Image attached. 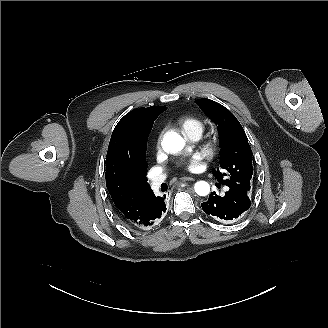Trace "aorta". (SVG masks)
Masks as SVG:
<instances>
[{
  "label": "aorta",
  "mask_w": 328,
  "mask_h": 328,
  "mask_svg": "<svg viewBox=\"0 0 328 328\" xmlns=\"http://www.w3.org/2000/svg\"><path fill=\"white\" fill-rule=\"evenodd\" d=\"M162 145L169 153H176L184 148L185 141L179 134L170 132L165 134ZM194 190L199 196H206L210 193V185L205 181H198L195 183Z\"/></svg>",
  "instance_id": "obj_1"
}]
</instances>
